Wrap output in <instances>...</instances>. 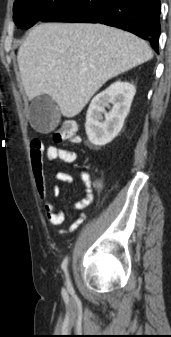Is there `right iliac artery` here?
<instances>
[{
	"label": "right iliac artery",
	"instance_id": "82829eb1",
	"mask_svg": "<svg viewBox=\"0 0 171 337\" xmlns=\"http://www.w3.org/2000/svg\"><path fill=\"white\" fill-rule=\"evenodd\" d=\"M67 263H68V258L66 257L62 263V269L64 270L65 274H66V279H67V286H71V282L69 280V276L67 273Z\"/></svg>",
	"mask_w": 171,
	"mask_h": 337
}]
</instances>
